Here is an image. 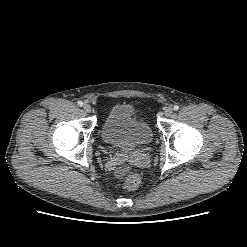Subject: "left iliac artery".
Returning <instances> with one entry per match:
<instances>
[{
  "label": "left iliac artery",
  "mask_w": 247,
  "mask_h": 247,
  "mask_svg": "<svg viewBox=\"0 0 247 247\" xmlns=\"http://www.w3.org/2000/svg\"><path fill=\"white\" fill-rule=\"evenodd\" d=\"M173 109H174L175 111H177V110L179 109V106H178V105H175V106L173 107Z\"/></svg>",
  "instance_id": "1"
}]
</instances>
